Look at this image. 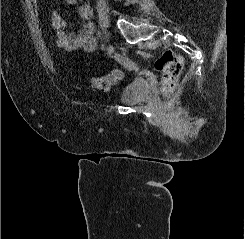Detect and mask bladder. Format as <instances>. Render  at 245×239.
<instances>
[{"mask_svg":"<svg viewBox=\"0 0 245 239\" xmlns=\"http://www.w3.org/2000/svg\"><path fill=\"white\" fill-rule=\"evenodd\" d=\"M149 92L150 84L134 80L122 88L119 101L120 103L137 105L148 98Z\"/></svg>","mask_w":245,"mask_h":239,"instance_id":"31cf9c89","label":"bladder"}]
</instances>
